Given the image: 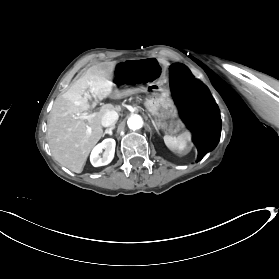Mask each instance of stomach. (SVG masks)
<instances>
[{
    "label": "stomach",
    "instance_id": "stomach-1",
    "mask_svg": "<svg viewBox=\"0 0 279 279\" xmlns=\"http://www.w3.org/2000/svg\"><path fill=\"white\" fill-rule=\"evenodd\" d=\"M147 109L153 116L155 125L166 133L177 131L184 123V115L174 100L155 96L150 99Z\"/></svg>",
    "mask_w": 279,
    "mask_h": 279
}]
</instances>
